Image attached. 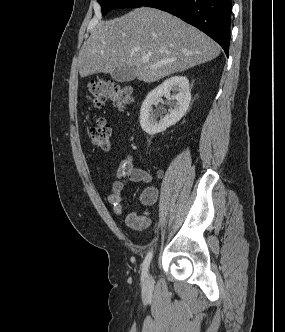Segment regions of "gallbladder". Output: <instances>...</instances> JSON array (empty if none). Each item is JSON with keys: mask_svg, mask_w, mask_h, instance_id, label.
Listing matches in <instances>:
<instances>
[{"mask_svg": "<svg viewBox=\"0 0 285 332\" xmlns=\"http://www.w3.org/2000/svg\"><path fill=\"white\" fill-rule=\"evenodd\" d=\"M112 79L117 82H130L135 79V71L132 67H119L110 73Z\"/></svg>", "mask_w": 285, "mask_h": 332, "instance_id": "1", "label": "gallbladder"}]
</instances>
